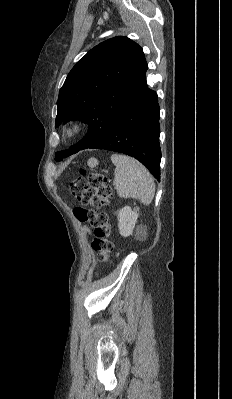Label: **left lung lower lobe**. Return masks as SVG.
Wrapping results in <instances>:
<instances>
[{
	"label": "left lung lower lobe",
	"instance_id": "obj_1",
	"mask_svg": "<svg viewBox=\"0 0 232 399\" xmlns=\"http://www.w3.org/2000/svg\"><path fill=\"white\" fill-rule=\"evenodd\" d=\"M159 112L157 94L148 87L144 74L130 103L108 133L90 148L116 151L134 157L159 181L161 160Z\"/></svg>",
	"mask_w": 232,
	"mask_h": 399
}]
</instances>
